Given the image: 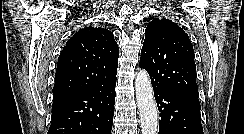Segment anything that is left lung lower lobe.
Segmentation results:
<instances>
[{"instance_id":"0a47b994","label":"left lung lower lobe","mask_w":244,"mask_h":134,"mask_svg":"<svg viewBox=\"0 0 244 134\" xmlns=\"http://www.w3.org/2000/svg\"><path fill=\"white\" fill-rule=\"evenodd\" d=\"M160 112L159 134H203L198 94L154 89Z\"/></svg>"}]
</instances>
